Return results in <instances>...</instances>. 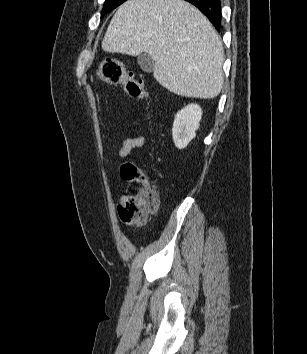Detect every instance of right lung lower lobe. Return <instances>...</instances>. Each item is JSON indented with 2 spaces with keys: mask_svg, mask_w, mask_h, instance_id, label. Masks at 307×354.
Instances as JSON below:
<instances>
[{
  "mask_svg": "<svg viewBox=\"0 0 307 354\" xmlns=\"http://www.w3.org/2000/svg\"><path fill=\"white\" fill-rule=\"evenodd\" d=\"M195 5L210 22L216 27L221 28V2L220 0H186Z\"/></svg>",
  "mask_w": 307,
  "mask_h": 354,
  "instance_id": "98d812e1",
  "label": "right lung lower lobe"
}]
</instances>
